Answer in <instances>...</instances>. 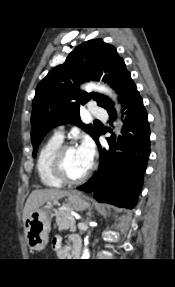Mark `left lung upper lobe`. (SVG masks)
Instances as JSON below:
<instances>
[{
    "label": "left lung upper lobe",
    "instance_id": "5c2ea615",
    "mask_svg": "<svg viewBox=\"0 0 175 287\" xmlns=\"http://www.w3.org/2000/svg\"><path fill=\"white\" fill-rule=\"evenodd\" d=\"M84 80L108 82L123 102L134 84L124 60L115 47L102 39H93L74 49L62 65L56 66L38 84L31 117L33 156L45 134L52 128L72 123L81 127L95 140L100 134L92 125H85L79 117V105L95 100L108 112L114 110L112 101L97 93L79 90Z\"/></svg>",
    "mask_w": 175,
    "mask_h": 287
}]
</instances>
